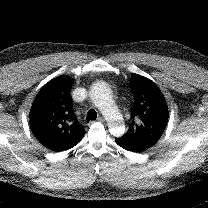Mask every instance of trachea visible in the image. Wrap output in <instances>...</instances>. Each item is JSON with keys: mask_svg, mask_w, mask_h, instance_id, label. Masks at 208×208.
Instances as JSON below:
<instances>
[{"mask_svg": "<svg viewBox=\"0 0 208 208\" xmlns=\"http://www.w3.org/2000/svg\"><path fill=\"white\" fill-rule=\"evenodd\" d=\"M97 118V113L94 109H90L87 113V116H86V120L87 122L91 121V120H96Z\"/></svg>", "mask_w": 208, "mask_h": 208, "instance_id": "3493384b", "label": "trachea"}]
</instances>
